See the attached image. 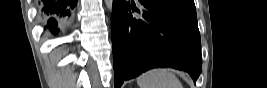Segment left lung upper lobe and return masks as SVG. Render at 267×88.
Here are the masks:
<instances>
[{"label":"left lung upper lobe","mask_w":267,"mask_h":88,"mask_svg":"<svg viewBox=\"0 0 267 88\" xmlns=\"http://www.w3.org/2000/svg\"><path fill=\"white\" fill-rule=\"evenodd\" d=\"M154 1L179 7L191 12H196L194 0H154Z\"/></svg>","instance_id":"1"}]
</instances>
